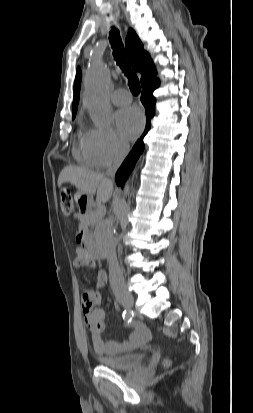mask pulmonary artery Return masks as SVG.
Returning <instances> with one entry per match:
<instances>
[{"label": "pulmonary artery", "instance_id": "obj_1", "mask_svg": "<svg viewBox=\"0 0 253 413\" xmlns=\"http://www.w3.org/2000/svg\"><path fill=\"white\" fill-rule=\"evenodd\" d=\"M132 98L125 89H117L111 94V101L117 106L129 104Z\"/></svg>", "mask_w": 253, "mask_h": 413}]
</instances>
